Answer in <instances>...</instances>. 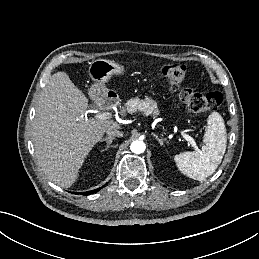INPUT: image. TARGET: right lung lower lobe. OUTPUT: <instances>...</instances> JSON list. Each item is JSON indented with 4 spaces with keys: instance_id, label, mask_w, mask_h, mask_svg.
Returning <instances> with one entry per match:
<instances>
[{
    "instance_id": "1",
    "label": "right lung lower lobe",
    "mask_w": 259,
    "mask_h": 259,
    "mask_svg": "<svg viewBox=\"0 0 259 259\" xmlns=\"http://www.w3.org/2000/svg\"><path fill=\"white\" fill-rule=\"evenodd\" d=\"M101 188H102V187H101ZM101 188H98V189L92 190V191H88V192H84L83 194H84V195H90V194H93V193L99 191Z\"/></svg>"
}]
</instances>
